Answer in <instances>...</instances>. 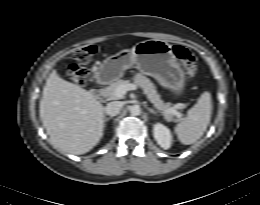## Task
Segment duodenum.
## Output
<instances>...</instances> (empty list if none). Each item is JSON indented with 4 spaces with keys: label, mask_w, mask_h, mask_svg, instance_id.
<instances>
[{
    "label": "duodenum",
    "mask_w": 260,
    "mask_h": 205,
    "mask_svg": "<svg viewBox=\"0 0 260 205\" xmlns=\"http://www.w3.org/2000/svg\"><path fill=\"white\" fill-rule=\"evenodd\" d=\"M102 87H103V83L101 84V86L99 88H97L96 90H94L92 92V95H93L94 98L100 99L102 97V94H103Z\"/></svg>",
    "instance_id": "410a0bca"
}]
</instances>
